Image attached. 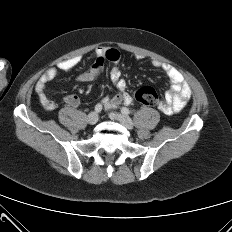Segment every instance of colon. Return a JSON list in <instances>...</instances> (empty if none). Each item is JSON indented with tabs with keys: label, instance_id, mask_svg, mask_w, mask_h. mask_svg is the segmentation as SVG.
<instances>
[{
	"label": "colon",
	"instance_id": "5ec220e1",
	"mask_svg": "<svg viewBox=\"0 0 232 232\" xmlns=\"http://www.w3.org/2000/svg\"><path fill=\"white\" fill-rule=\"evenodd\" d=\"M135 99L143 105L154 106L158 101V94L151 86H143L139 88L135 94Z\"/></svg>",
	"mask_w": 232,
	"mask_h": 232
}]
</instances>
